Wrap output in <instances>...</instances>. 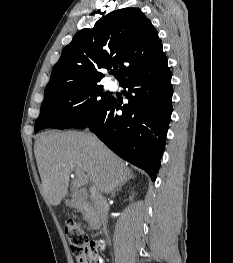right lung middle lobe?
I'll list each match as a JSON object with an SVG mask.
<instances>
[{
  "instance_id": "1",
  "label": "right lung middle lobe",
  "mask_w": 233,
  "mask_h": 263,
  "mask_svg": "<svg viewBox=\"0 0 233 263\" xmlns=\"http://www.w3.org/2000/svg\"><path fill=\"white\" fill-rule=\"evenodd\" d=\"M102 92V86L95 84L44 98L35 132L49 127L64 129L76 126L111 100L112 97Z\"/></svg>"
}]
</instances>
